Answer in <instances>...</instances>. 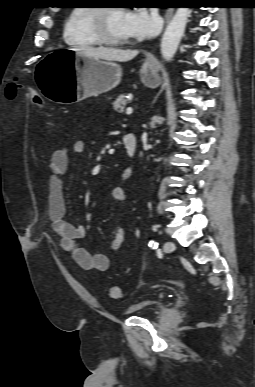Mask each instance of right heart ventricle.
<instances>
[{
    "instance_id": "1",
    "label": "right heart ventricle",
    "mask_w": 255,
    "mask_h": 387,
    "mask_svg": "<svg viewBox=\"0 0 255 387\" xmlns=\"http://www.w3.org/2000/svg\"><path fill=\"white\" fill-rule=\"evenodd\" d=\"M93 9L91 6H76L70 11L63 28V39L67 45L83 49L101 44L91 26Z\"/></svg>"
}]
</instances>
